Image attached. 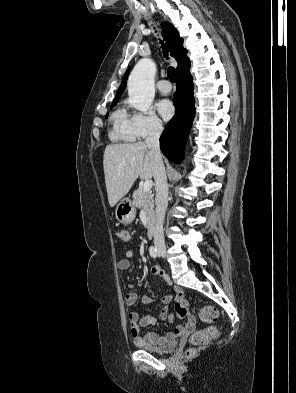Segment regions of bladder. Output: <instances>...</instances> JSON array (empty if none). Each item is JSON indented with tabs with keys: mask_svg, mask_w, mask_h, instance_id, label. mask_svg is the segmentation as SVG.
I'll return each mask as SVG.
<instances>
[{
	"mask_svg": "<svg viewBox=\"0 0 296 393\" xmlns=\"http://www.w3.org/2000/svg\"><path fill=\"white\" fill-rule=\"evenodd\" d=\"M176 346H177L176 341H171L163 347L155 348L152 346L143 345L141 346V349L151 353L166 354L172 352L176 348Z\"/></svg>",
	"mask_w": 296,
	"mask_h": 393,
	"instance_id": "bladder-1",
	"label": "bladder"
}]
</instances>
